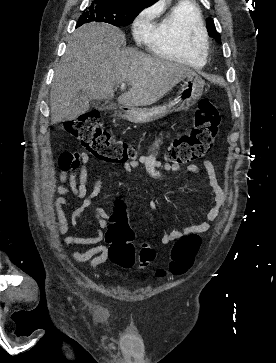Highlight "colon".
Segmentation results:
<instances>
[{"instance_id":"5ec220e1","label":"colon","mask_w":276,"mask_h":363,"mask_svg":"<svg viewBox=\"0 0 276 363\" xmlns=\"http://www.w3.org/2000/svg\"><path fill=\"white\" fill-rule=\"evenodd\" d=\"M219 123L220 114L217 107L210 100H201L195 111L193 125L166 148L165 160L170 164L184 165L206 156L212 148ZM63 128L77 138L90 154L107 162L123 163L134 160L137 156V150L133 145L114 138L102 129L97 111L68 120L64 122ZM106 239L110 244V260L120 267L131 268L136 261L141 267H145L155 259V250L147 244L141 245L137 253L134 232L126 222L112 220L106 232ZM200 244L201 240L197 234L179 238L172 248L168 269H160L157 276L187 273L194 264Z\"/></svg>"}]
</instances>
